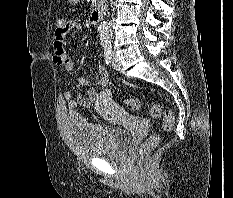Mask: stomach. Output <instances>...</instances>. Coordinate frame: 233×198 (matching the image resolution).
<instances>
[{"label": "stomach", "instance_id": "1", "mask_svg": "<svg viewBox=\"0 0 233 198\" xmlns=\"http://www.w3.org/2000/svg\"><path fill=\"white\" fill-rule=\"evenodd\" d=\"M70 4L75 5L76 3H78L80 0H68Z\"/></svg>", "mask_w": 233, "mask_h": 198}]
</instances>
